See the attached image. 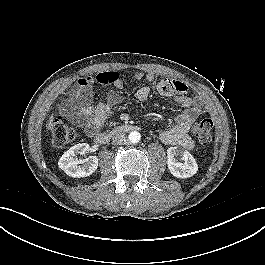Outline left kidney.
I'll return each instance as SVG.
<instances>
[{"label":"left kidney","instance_id":"obj_1","mask_svg":"<svg viewBox=\"0 0 265 265\" xmlns=\"http://www.w3.org/2000/svg\"><path fill=\"white\" fill-rule=\"evenodd\" d=\"M167 165L170 173L177 178L192 177L198 171L194 157L183 148L170 147L167 149ZM181 160L183 162L178 161Z\"/></svg>","mask_w":265,"mask_h":265}]
</instances>
